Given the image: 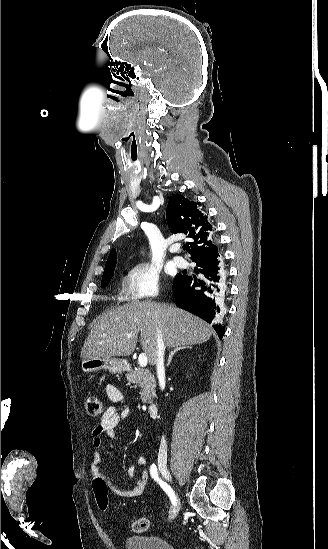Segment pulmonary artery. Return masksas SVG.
Listing matches in <instances>:
<instances>
[{
	"mask_svg": "<svg viewBox=\"0 0 328 549\" xmlns=\"http://www.w3.org/2000/svg\"><path fill=\"white\" fill-rule=\"evenodd\" d=\"M173 262L176 266L183 268L187 265V261L181 256H174Z\"/></svg>",
	"mask_w": 328,
	"mask_h": 549,
	"instance_id": "1",
	"label": "pulmonary artery"
}]
</instances>
